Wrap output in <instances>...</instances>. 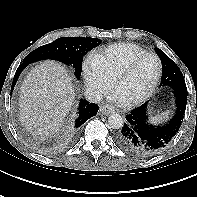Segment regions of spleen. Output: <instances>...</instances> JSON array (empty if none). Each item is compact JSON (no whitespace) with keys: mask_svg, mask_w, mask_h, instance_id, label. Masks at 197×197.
Segmentation results:
<instances>
[{"mask_svg":"<svg viewBox=\"0 0 197 197\" xmlns=\"http://www.w3.org/2000/svg\"><path fill=\"white\" fill-rule=\"evenodd\" d=\"M168 116H169L168 111L162 112L161 114H158V115H155V116L151 117L150 122L153 123V124H158V123H161V122L167 120Z\"/></svg>","mask_w":197,"mask_h":197,"instance_id":"obj_1","label":"spleen"}]
</instances>
